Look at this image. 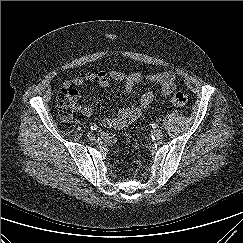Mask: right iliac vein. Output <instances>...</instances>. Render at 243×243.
Listing matches in <instances>:
<instances>
[{"mask_svg": "<svg viewBox=\"0 0 243 243\" xmlns=\"http://www.w3.org/2000/svg\"><path fill=\"white\" fill-rule=\"evenodd\" d=\"M87 137L90 141H96V136L94 133L90 132L87 134Z\"/></svg>", "mask_w": 243, "mask_h": 243, "instance_id": "63e3f726", "label": "right iliac vein"}]
</instances>
